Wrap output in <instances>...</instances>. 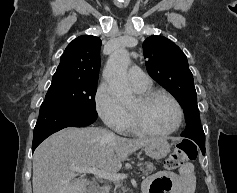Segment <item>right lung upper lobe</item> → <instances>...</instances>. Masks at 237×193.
Wrapping results in <instances>:
<instances>
[{"instance_id":"1","label":"right lung upper lobe","mask_w":237,"mask_h":193,"mask_svg":"<svg viewBox=\"0 0 237 193\" xmlns=\"http://www.w3.org/2000/svg\"><path fill=\"white\" fill-rule=\"evenodd\" d=\"M101 40L92 35L74 39L65 49L53 77L98 81Z\"/></svg>"}]
</instances>
